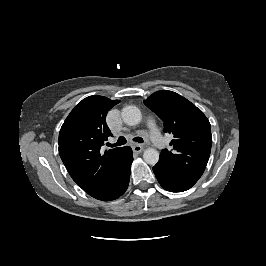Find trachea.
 Instances as JSON below:
<instances>
[{"mask_svg":"<svg viewBox=\"0 0 266 266\" xmlns=\"http://www.w3.org/2000/svg\"><path fill=\"white\" fill-rule=\"evenodd\" d=\"M133 141H135V142H139V143L144 142L143 138H141V137H135V138H133ZM126 142H127L126 138L123 137V136H120V137L118 138V140H117L116 143H114V144H108V146H109V147L121 146V145L126 144Z\"/></svg>","mask_w":266,"mask_h":266,"instance_id":"obj_1","label":"trachea"}]
</instances>
